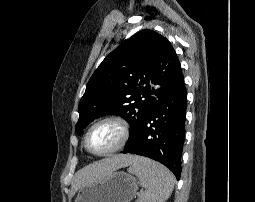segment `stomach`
Returning <instances> with one entry per match:
<instances>
[{"instance_id": "0dacf381", "label": "stomach", "mask_w": 255, "mask_h": 202, "mask_svg": "<svg viewBox=\"0 0 255 202\" xmlns=\"http://www.w3.org/2000/svg\"><path fill=\"white\" fill-rule=\"evenodd\" d=\"M137 189L133 176L114 171L79 188L74 202H130Z\"/></svg>"}]
</instances>
